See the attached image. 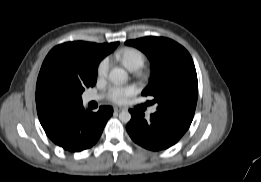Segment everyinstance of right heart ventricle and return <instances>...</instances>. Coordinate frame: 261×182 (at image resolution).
<instances>
[{"label": "right heart ventricle", "mask_w": 261, "mask_h": 182, "mask_svg": "<svg viewBox=\"0 0 261 182\" xmlns=\"http://www.w3.org/2000/svg\"><path fill=\"white\" fill-rule=\"evenodd\" d=\"M120 62L130 71L140 69L145 62V54L137 49L128 47L119 53Z\"/></svg>", "instance_id": "obj_1"}]
</instances>
